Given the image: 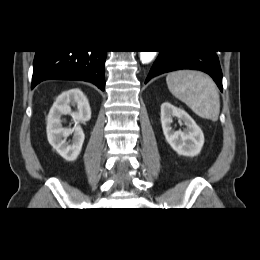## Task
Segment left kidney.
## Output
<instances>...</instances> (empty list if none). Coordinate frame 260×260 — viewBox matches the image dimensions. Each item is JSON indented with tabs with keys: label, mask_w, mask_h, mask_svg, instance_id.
<instances>
[{
	"label": "left kidney",
	"mask_w": 260,
	"mask_h": 260,
	"mask_svg": "<svg viewBox=\"0 0 260 260\" xmlns=\"http://www.w3.org/2000/svg\"><path fill=\"white\" fill-rule=\"evenodd\" d=\"M179 119V124L186 128L175 131L172 128V117ZM161 124L166 141L179 155L194 157L198 155L204 144V134L195 121L184 110L169 102L161 105Z\"/></svg>",
	"instance_id": "left-kidney-1"
}]
</instances>
